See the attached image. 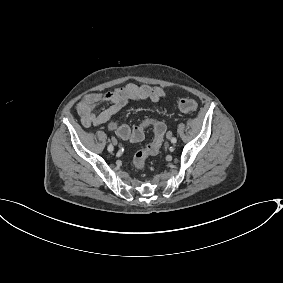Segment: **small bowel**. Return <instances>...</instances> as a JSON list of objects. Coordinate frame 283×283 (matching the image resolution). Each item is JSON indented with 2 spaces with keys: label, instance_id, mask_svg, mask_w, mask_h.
Listing matches in <instances>:
<instances>
[{
  "label": "small bowel",
  "instance_id": "1",
  "mask_svg": "<svg viewBox=\"0 0 283 283\" xmlns=\"http://www.w3.org/2000/svg\"><path fill=\"white\" fill-rule=\"evenodd\" d=\"M165 97V92L161 87L147 84L127 83L118 86L112 91L92 92L83 97L77 104V112L81 123L85 128L110 124L115 116L130 101L151 100L159 102ZM108 104V107L96 111V108L102 104Z\"/></svg>",
  "mask_w": 283,
  "mask_h": 283
}]
</instances>
